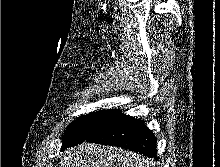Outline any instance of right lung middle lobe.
Masks as SVG:
<instances>
[{"mask_svg":"<svg viewBox=\"0 0 220 167\" xmlns=\"http://www.w3.org/2000/svg\"><path fill=\"white\" fill-rule=\"evenodd\" d=\"M111 110H102L96 113L83 115L73 121L62 138L61 150L82 143L94 131V129L106 118Z\"/></svg>","mask_w":220,"mask_h":167,"instance_id":"right-lung-middle-lobe-1","label":"right lung middle lobe"}]
</instances>
